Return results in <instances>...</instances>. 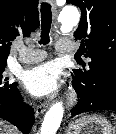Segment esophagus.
<instances>
[{"instance_id": "esophagus-1", "label": "esophagus", "mask_w": 116, "mask_h": 134, "mask_svg": "<svg viewBox=\"0 0 116 134\" xmlns=\"http://www.w3.org/2000/svg\"><path fill=\"white\" fill-rule=\"evenodd\" d=\"M49 2L52 7V12H53L54 16H56L57 15V7H56L55 0H49ZM48 107H49L48 102H44L41 105H38L36 107V115L39 116V115L43 114L47 110Z\"/></svg>"}]
</instances>
